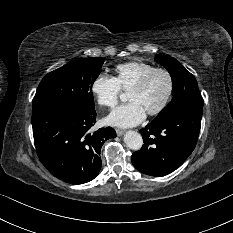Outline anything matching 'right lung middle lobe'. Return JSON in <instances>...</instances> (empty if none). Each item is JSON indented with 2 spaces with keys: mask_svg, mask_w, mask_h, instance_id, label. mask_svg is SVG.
I'll return each mask as SVG.
<instances>
[{
  "mask_svg": "<svg viewBox=\"0 0 233 233\" xmlns=\"http://www.w3.org/2000/svg\"><path fill=\"white\" fill-rule=\"evenodd\" d=\"M103 63L101 57L79 58L48 73L39 84L33 106L66 105L94 112L92 85Z\"/></svg>",
  "mask_w": 233,
  "mask_h": 233,
  "instance_id": "dd1d6c3e",
  "label": "right lung middle lobe"
}]
</instances>
